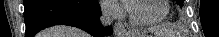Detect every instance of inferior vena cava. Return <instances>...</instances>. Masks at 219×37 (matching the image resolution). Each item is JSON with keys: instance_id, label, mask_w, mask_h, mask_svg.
Returning <instances> with one entry per match:
<instances>
[{"instance_id": "602c4592", "label": "inferior vena cava", "mask_w": 219, "mask_h": 37, "mask_svg": "<svg viewBox=\"0 0 219 37\" xmlns=\"http://www.w3.org/2000/svg\"><path fill=\"white\" fill-rule=\"evenodd\" d=\"M101 12L100 22L104 26H108L112 23L117 14V7L114 5H106L102 7Z\"/></svg>"}]
</instances>
